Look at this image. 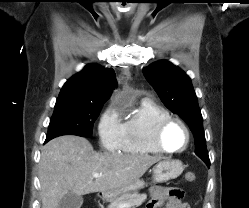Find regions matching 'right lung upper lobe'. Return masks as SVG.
Returning a JSON list of instances; mask_svg holds the SVG:
<instances>
[{"label": "right lung upper lobe", "instance_id": "right-lung-upper-lobe-1", "mask_svg": "<svg viewBox=\"0 0 249 208\" xmlns=\"http://www.w3.org/2000/svg\"><path fill=\"white\" fill-rule=\"evenodd\" d=\"M116 86L112 69L88 64L72 76L61 89L55 106L68 104H104Z\"/></svg>", "mask_w": 249, "mask_h": 208}]
</instances>
